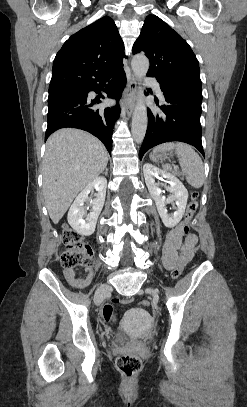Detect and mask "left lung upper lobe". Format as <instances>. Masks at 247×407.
<instances>
[{
  "label": "left lung upper lobe",
  "instance_id": "1",
  "mask_svg": "<svg viewBox=\"0 0 247 407\" xmlns=\"http://www.w3.org/2000/svg\"><path fill=\"white\" fill-rule=\"evenodd\" d=\"M144 51L150 60L147 75L158 82L202 89L198 60L187 42L156 15H148L133 53Z\"/></svg>",
  "mask_w": 247,
  "mask_h": 407
}]
</instances>
